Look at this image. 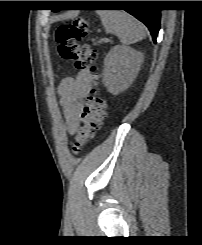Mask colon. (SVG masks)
Wrapping results in <instances>:
<instances>
[{
    "mask_svg": "<svg viewBox=\"0 0 202 245\" xmlns=\"http://www.w3.org/2000/svg\"><path fill=\"white\" fill-rule=\"evenodd\" d=\"M88 22L83 17H76L59 26L56 31V42L61 57L71 62L78 69H87L97 84L98 65L97 53L90 45H81V40L87 35ZM107 114L106 100L99 95L97 87L92 90L88 101L80 116V121L71 150L78 155L84 147L95 137L101 128Z\"/></svg>",
    "mask_w": 202,
    "mask_h": 245,
    "instance_id": "colon-1",
    "label": "colon"
}]
</instances>
